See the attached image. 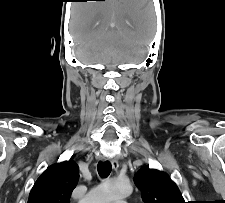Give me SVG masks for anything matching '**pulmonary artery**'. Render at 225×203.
Segmentation results:
<instances>
[{
    "label": "pulmonary artery",
    "instance_id": "obj_1",
    "mask_svg": "<svg viewBox=\"0 0 225 203\" xmlns=\"http://www.w3.org/2000/svg\"><path fill=\"white\" fill-rule=\"evenodd\" d=\"M114 203H126L125 201H115Z\"/></svg>",
    "mask_w": 225,
    "mask_h": 203
}]
</instances>
